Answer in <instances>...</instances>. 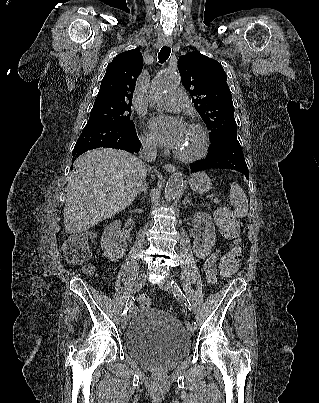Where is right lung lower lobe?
Masks as SVG:
<instances>
[{
  "label": "right lung lower lobe",
  "instance_id": "obj_1",
  "mask_svg": "<svg viewBox=\"0 0 319 403\" xmlns=\"http://www.w3.org/2000/svg\"><path fill=\"white\" fill-rule=\"evenodd\" d=\"M141 143L136 131L117 124L85 126L73 150V158L98 148L111 147L129 152H138Z\"/></svg>",
  "mask_w": 319,
  "mask_h": 403
}]
</instances>
